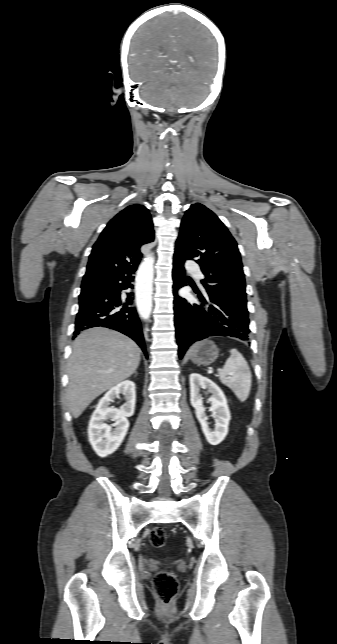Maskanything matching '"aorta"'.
I'll list each match as a JSON object with an SVG mask.
<instances>
[{
  "label": "aorta",
  "mask_w": 337,
  "mask_h": 644,
  "mask_svg": "<svg viewBox=\"0 0 337 644\" xmlns=\"http://www.w3.org/2000/svg\"><path fill=\"white\" fill-rule=\"evenodd\" d=\"M153 259L141 264L136 276V303L140 315L148 319L152 310Z\"/></svg>",
  "instance_id": "762f6f07"
}]
</instances>
